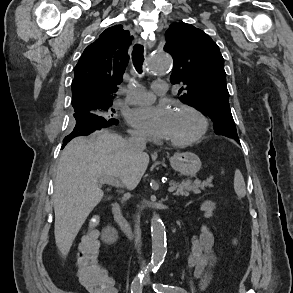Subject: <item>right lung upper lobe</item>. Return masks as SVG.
I'll return each instance as SVG.
<instances>
[{
	"label": "right lung upper lobe",
	"mask_w": 293,
	"mask_h": 293,
	"mask_svg": "<svg viewBox=\"0 0 293 293\" xmlns=\"http://www.w3.org/2000/svg\"><path fill=\"white\" fill-rule=\"evenodd\" d=\"M133 39L122 25L107 28L89 45L74 68V113L96 114L93 104L112 102L127 66V49Z\"/></svg>",
	"instance_id": "1"
}]
</instances>
